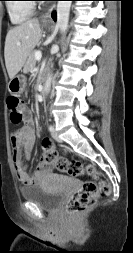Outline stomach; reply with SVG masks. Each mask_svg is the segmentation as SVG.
I'll return each mask as SVG.
<instances>
[{
  "label": "stomach",
  "mask_w": 133,
  "mask_h": 253,
  "mask_svg": "<svg viewBox=\"0 0 133 253\" xmlns=\"http://www.w3.org/2000/svg\"><path fill=\"white\" fill-rule=\"evenodd\" d=\"M47 25V23H44ZM26 87V77L24 75H17L13 77L10 82L8 89L12 94H21Z\"/></svg>",
  "instance_id": "0dacf381"
}]
</instances>
